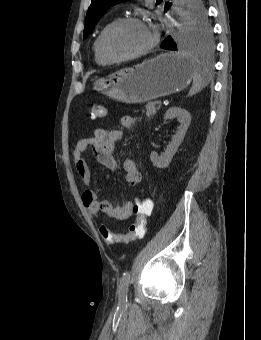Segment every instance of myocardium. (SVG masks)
I'll use <instances>...</instances> for the list:
<instances>
[{
    "label": "myocardium",
    "instance_id": "1",
    "mask_svg": "<svg viewBox=\"0 0 261 340\" xmlns=\"http://www.w3.org/2000/svg\"><path fill=\"white\" fill-rule=\"evenodd\" d=\"M128 23H137V24H141L144 27H146V29L148 30V32L150 34V41H149V43L146 47H144L140 51L135 52L133 54L123 55V56L114 55L107 48V39L114 30H116L117 28H119V27H121L125 24H128ZM157 43H158L157 33L154 30H152L142 19H140L139 17H136V16H126V17H122V18H119V19L113 21L104 30V32L101 35L99 45H100V50H101L102 54L104 55V57H106L107 59H109L112 62H124V61H129V60L139 58V57L149 53L157 45Z\"/></svg>",
    "mask_w": 261,
    "mask_h": 340
}]
</instances>
